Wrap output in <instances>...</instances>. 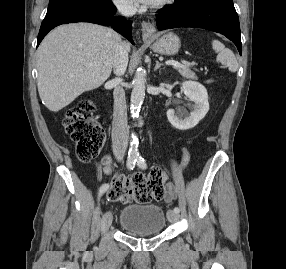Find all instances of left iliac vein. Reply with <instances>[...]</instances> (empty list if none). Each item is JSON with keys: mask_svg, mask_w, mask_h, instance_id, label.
<instances>
[{"mask_svg": "<svg viewBox=\"0 0 286 269\" xmlns=\"http://www.w3.org/2000/svg\"><path fill=\"white\" fill-rule=\"evenodd\" d=\"M167 218L170 222L174 223L178 220V213H176L173 210H168L167 212Z\"/></svg>", "mask_w": 286, "mask_h": 269, "instance_id": "1", "label": "left iliac vein"}]
</instances>
